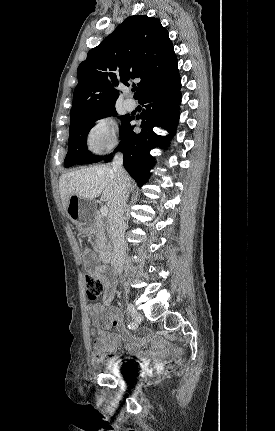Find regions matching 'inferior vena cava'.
Returning a JSON list of instances; mask_svg holds the SVG:
<instances>
[{"instance_id": "602c4592", "label": "inferior vena cava", "mask_w": 275, "mask_h": 431, "mask_svg": "<svg viewBox=\"0 0 275 431\" xmlns=\"http://www.w3.org/2000/svg\"><path fill=\"white\" fill-rule=\"evenodd\" d=\"M116 189L109 207V228L113 244L111 265L117 273H121L125 258V221L124 209L129 195L130 178L123 168V155L117 153L112 161Z\"/></svg>"}]
</instances>
